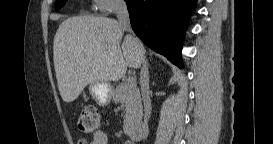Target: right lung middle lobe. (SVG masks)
Returning a JSON list of instances; mask_svg holds the SVG:
<instances>
[{
    "instance_id": "1",
    "label": "right lung middle lobe",
    "mask_w": 273,
    "mask_h": 144,
    "mask_svg": "<svg viewBox=\"0 0 273 144\" xmlns=\"http://www.w3.org/2000/svg\"><path fill=\"white\" fill-rule=\"evenodd\" d=\"M65 1L66 0H57L56 5H55V9L56 10L60 9L63 6V4L65 3Z\"/></svg>"
}]
</instances>
